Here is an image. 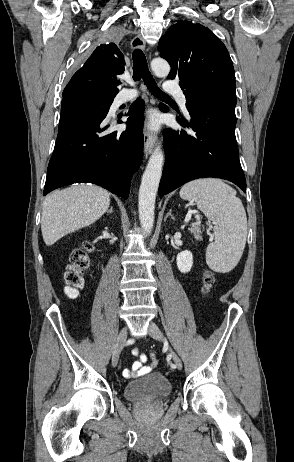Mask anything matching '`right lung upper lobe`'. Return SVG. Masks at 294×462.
<instances>
[{"mask_svg":"<svg viewBox=\"0 0 294 462\" xmlns=\"http://www.w3.org/2000/svg\"><path fill=\"white\" fill-rule=\"evenodd\" d=\"M124 55L114 43L101 44L71 78L63 91V98L74 93H93L115 96L124 72Z\"/></svg>","mask_w":294,"mask_h":462,"instance_id":"obj_1","label":"right lung upper lobe"}]
</instances>
